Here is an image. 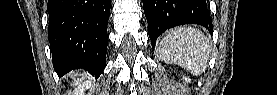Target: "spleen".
<instances>
[{"mask_svg": "<svg viewBox=\"0 0 277 95\" xmlns=\"http://www.w3.org/2000/svg\"><path fill=\"white\" fill-rule=\"evenodd\" d=\"M210 50L209 40L200 30L185 26L170 31L157 49L160 60L177 64L194 75L205 72Z\"/></svg>", "mask_w": 277, "mask_h": 95, "instance_id": "3e777b00", "label": "spleen"}]
</instances>
